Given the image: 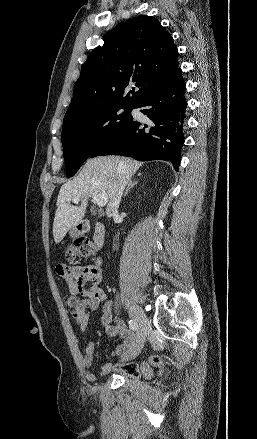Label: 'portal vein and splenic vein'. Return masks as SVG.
<instances>
[{
	"mask_svg": "<svg viewBox=\"0 0 257 439\" xmlns=\"http://www.w3.org/2000/svg\"><path fill=\"white\" fill-rule=\"evenodd\" d=\"M91 197H92L93 201L96 202L99 207L105 206L106 203L108 202V196L105 193H100V194L93 193L91 195ZM79 201H80L79 197H75L73 199L74 203H78Z\"/></svg>",
	"mask_w": 257,
	"mask_h": 439,
	"instance_id": "1",
	"label": "portal vein and splenic vein"
}]
</instances>
